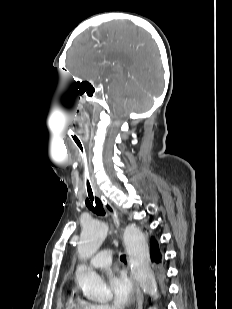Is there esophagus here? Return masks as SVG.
<instances>
[{"instance_id":"obj_1","label":"esophagus","mask_w":232,"mask_h":309,"mask_svg":"<svg viewBox=\"0 0 232 309\" xmlns=\"http://www.w3.org/2000/svg\"><path fill=\"white\" fill-rule=\"evenodd\" d=\"M103 202L106 206L108 213L112 216L114 223L116 225H119V218H118V214H117L115 208L106 199H104ZM135 288H136V293H137L136 309H142L143 295L141 293V290L139 289V287L136 284H135Z\"/></svg>"}]
</instances>
